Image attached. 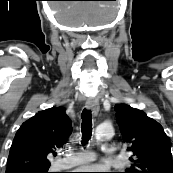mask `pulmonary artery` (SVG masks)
<instances>
[{
    "label": "pulmonary artery",
    "mask_w": 173,
    "mask_h": 173,
    "mask_svg": "<svg viewBox=\"0 0 173 173\" xmlns=\"http://www.w3.org/2000/svg\"><path fill=\"white\" fill-rule=\"evenodd\" d=\"M102 152L106 155H115V149L111 146H102ZM96 159L92 151L82 150L74 153L71 157L59 161L58 166L61 169H67L79 165L87 164Z\"/></svg>",
    "instance_id": "obj_1"
}]
</instances>
